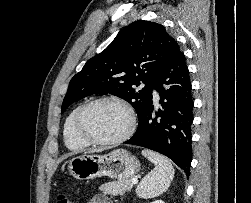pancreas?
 <instances>
[{
  "instance_id": "obj_1",
  "label": "pancreas",
  "mask_w": 251,
  "mask_h": 203,
  "mask_svg": "<svg viewBox=\"0 0 251 203\" xmlns=\"http://www.w3.org/2000/svg\"><path fill=\"white\" fill-rule=\"evenodd\" d=\"M133 178L119 179L117 181L109 182L100 186V190L104 194H110L113 196L123 195L132 188Z\"/></svg>"
}]
</instances>
